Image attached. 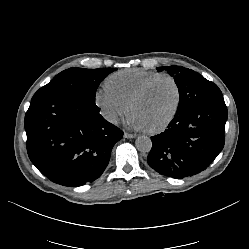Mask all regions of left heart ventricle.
I'll use <instances>...</instances> for the list:
<instances>
[{
    "label": "left heart ventricle",
    "instance_id": "b2bd125f",
    "mask_svg": "<svg viewBox=\"0 0 249 249\" xmlns=\"http://www.w3.org/2000/svg\"><path fill=\"white\" fill-rule=\"evenodd\" d=\"M177 102V93L173 83L160 80L130 109L140 117L146 129H152L163 123L173 112Z\"/></svg>",
    "mask_w": 249,
    "mask_h": 249
}]
</instances>
